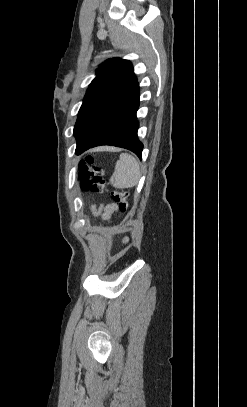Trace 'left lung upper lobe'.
<instances>
[{
	"instance_id": "1",
	"label": "left lung upper lobe",
	"mask_w": 247,
	"mask_h": 407,
	"mask_svg": "<svg viewBox=\"0 0 247 407\" xmlns=\"http://www.w3.org/2000/svg\"><path fill=\"white\" fill-rule=\"evenodd\" d=\"M136 81L128 60L112 58L101 64L87 89L74 126L77 145L106 107Z\"/></svg>"
}]
</instances>
